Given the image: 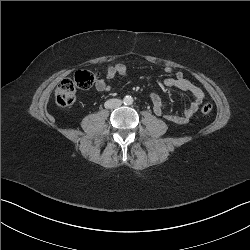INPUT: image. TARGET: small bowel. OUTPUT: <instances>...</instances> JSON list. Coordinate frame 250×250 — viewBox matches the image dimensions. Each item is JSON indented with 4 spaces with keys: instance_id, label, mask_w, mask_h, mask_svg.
<instances>
[{
    "instance_id": "obj_1",
    "label": "small bowel",
    "mask_w": 250,
    "mask_h": 250,
    "mask_svg": "<svg viewBox=\"0 0 250 250\" xmlns=\"http://www.w3.org/2000/svg\"><path fill=\"white\" fill-rule=\"evenodd\" d=\"M164 73L168 75L167 78L163 80V85L168 88H176L184 92H189L193 95L194 100L187 106L182 114H164L165 105L161 97L152 92L150 94V99L153 105V111L157 116H162L167 121L183 125L187 124L193 116L197 113L200 105L205 100L204 91L185 78L181 71L173 74V69L169 66L164 68ZM128 74V68L125 64L118 63L115 65H109L106 69V77L97 80L95 88L99 92H107L110 90L108 80L113 79L115 76H126Z\"/></svg>"
}]
</instances>
